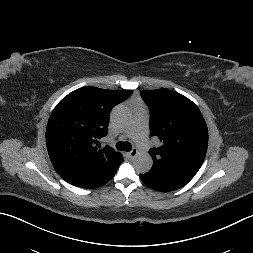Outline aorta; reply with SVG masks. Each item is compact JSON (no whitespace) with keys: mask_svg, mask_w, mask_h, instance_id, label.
I'll use <instances>...</instances> for the list:
<instances>
[{"mask_svg":"<svg viewBox=\"0 0 253 253\" xmlns=\"http://www.w3.org/2000/svg\"><path fill=\"white\" fill-rule=\"evenodd\" d=\"M112 120L119 126L127 124L131 120V112L125 107H117L112 113ZM153 160L148 154H141L135 157L133 166L137 173L145 174L150 171Z\"/></svg>","mask_w":253,"mask_h":253,"instance_id":"aorta-1","label":"aorta"}]
</instances>
